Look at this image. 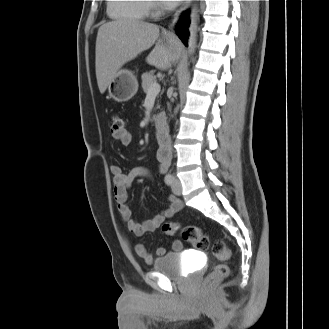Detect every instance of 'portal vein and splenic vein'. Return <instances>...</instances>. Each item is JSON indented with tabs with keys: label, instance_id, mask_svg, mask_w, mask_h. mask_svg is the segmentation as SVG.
I'll use <instances>...</instances> for the list:
<instances>
[{
	"label": "portal vein and splenic vein",
	"instance_id": "18ae733b",
	"mask_svg": "<svg viewBox=\"0 0 329 329\" xmlns=\"http://www.w3.org/2000/svg\"><path fill=\"white\" fill-rule=\"evenodd\" d=\"M160 92V85L158 83H153L147 93V96H156Z\"/></svg>",
	"mask_w": 329,
	"mask_h": 329
}]
</instances>
